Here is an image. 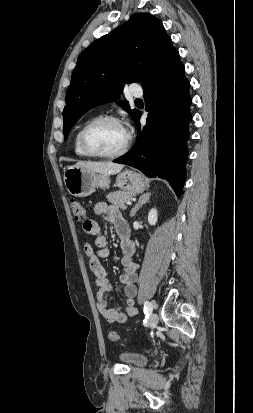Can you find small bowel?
Masks as SVG:
<instances>
[{
    "instance_id": "obj_1",
    "label": "small bowel",
    "mask_w": 253,
    "mask_h": 413,
    "mask_svg": "<svg viewBox=\"0 0 253 413\" xmlns=\"http://www.w3.org/2000/svg\"><path fill=\"white\" fill-rule=\"evenodd\" d=\"M94 211L97 215L102 216L107 222L114 225L118 236L121 239L122 256L120 263L123 267V273L120 276V282L123 285L124 294L126 296L125 308H108L107 300L112 286L107 276L106 269L101 263L102 258H107L110 255V249L107 244L106 237L102 234L97 221L86 219L83 222V230L85 233L95 237V245L97 249L90 243H85L84 251L87 258V263L90 271L94 275L95 284L98 287L96 292V306L99 313L109 323H124L128 319L137 315V309L134 306V299L137 295V270L138 264L133 260L134 244L130 240V230L121 211L106 202H99L95 205Z\"/></svg>"
}]
</instances>
